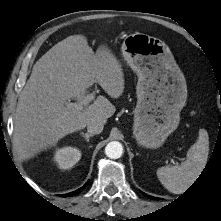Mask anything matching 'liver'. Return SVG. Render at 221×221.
Wrapping results in <instances>:
<instances>
[{
  "label": "liver",
  "instance_id": "obj_1",
  "mask_svg": "<svg viewBox=\"0 0 221 221\" xmlns=\"http://www.w3.org/2000/svg\"><path fill=\"white\" fill-rule=\"evenodd\" d=\"M95 82L112 98L124 91V73L116 57L103 45L94 53L81 34L58 42L34 64L14 119V146L21 159L55 146L92 120L106 123L116 109L104 96L84 110L65 106L70 98L80 103Z\"/></svg>",
  "mask_w": 221,
  "mask_h": 221
}]
</instances>
